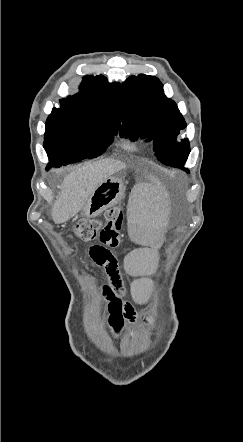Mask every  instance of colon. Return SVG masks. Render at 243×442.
Listing matches in <instances>:
<instances>
[{
	"mask_svg": "<svg viewBox=\"0 0 243 442\" xmlns=\"http://www.w3.org/2000/svg\"><path fill=\"white\" fill-rule=\"evenodd\" d=\"M123 215L120 207L107 210L102 219L85 218L79 220L72 229L74 236L86 243L85 250L92 259L105 265L114 259L111 249L121 244Z\"/></svg>",
	"mask_w": 243,
	"mask_h": 442,
	"instance_id": "5ec220e1",
	"label": "colon"
}]
</instances>
